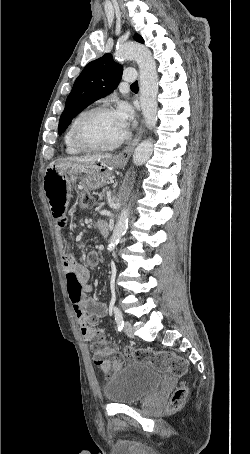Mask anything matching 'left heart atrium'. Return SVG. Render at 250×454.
<instances>
[{
	"label": "left heart atrium",
	"mask_w": 250,
	"mask_h": 454,
	"mask_svg": "<svg viewBox=\"0 0 250 454\" xmlns=\"http://www.w3.org/2000/svg\"><path fill=\"white\" fill-rule=\"evenodd\" d=\"M114 112L121 125L126 129L133 118L131 107L125 102H120Z\"/></svg>",
	"instance_id": "left-heart-atrium-1"
}]
</instances>
